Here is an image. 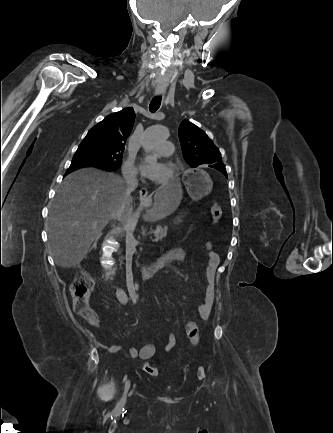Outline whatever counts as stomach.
<instances>
[{
	"instance_id": "stomach-1",
	"label": "stomach",
	"mask_w": 333,
	"mask_h": 433,
	"mask_svg": "<svg viewBox=\"0 0 333 433\" xmlns=\"http://www.w3.org/2000/svg\"><path fill=\"white\" fill-rule=\"evenodd\" d=\"M179 183H187V191L193 200H199L212 191L213 183L204 169H186L185 174H179ZM141 204L147 201L141 200Z\"/></svg>"
}]
</instances>
